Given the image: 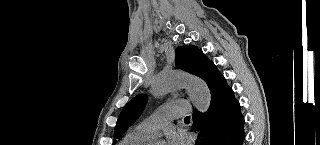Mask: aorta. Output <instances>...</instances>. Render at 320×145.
Instances as JSON below:
<instances>
[{
  "label": "aorta",
  "instance_id": "obj_1",
  "mask_svg": "<svg viewBox=\"0 0 320 145\" xmlns=\"http://www.w3.org/2000/svg\"><path fill=\"white\" fill-rule=\"evenodd\" d=\"M181 87L188 89L190 99L198 111L208 110L211 94L202 79L179 71H164L157 74L152 81V93L157 97Z\"/></svg>",
  "mask_w": 320,
  "mask_h": 145
}]
</instances>
